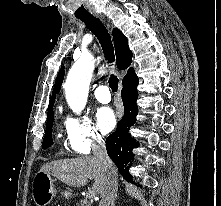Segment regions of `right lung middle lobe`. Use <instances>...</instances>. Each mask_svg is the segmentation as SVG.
Wrapping results in <instances>:
<instances>
[{
  "label": "right lung middle lobe",
  "instance_id": "right-lung-middle-lobe-1",
  "mask_svg": "<svg viewBox=\"0 0 221 206\" xmlns=\"http://www.w3.org/2000/svg\"><path fill=\"white\" fill-rule=\"evenodd\" d=\"M53 110H51L48 113L47 122H46V135L43 139V148H48L51 144H53L52 141V125H53Z\"/></svg>",
  "mask_w": 221,
  "mask_h": 206
}]
</instances>
